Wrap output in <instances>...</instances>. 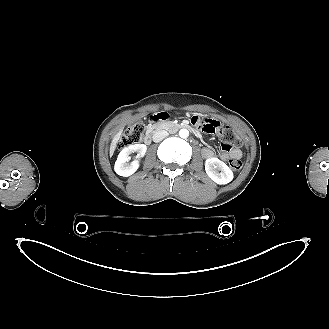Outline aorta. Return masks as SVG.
I'll return each mask as SVG.
<instances>
[{"mask_svg": "<svg viewBox=\"0 0 329 329\" xmlns=\"http://www.w3.org/2000/svg\"><path fill=\"white\" fill-rule=\"evenodd\" d=\"M179 136L181 138H187L189 136V131L187 129H181L179 131Z\"/></svg>", "mask_w": 329, "mask_h": 329, "instance_id": "aorta-1", "label": "aorta"}]
</instances>
